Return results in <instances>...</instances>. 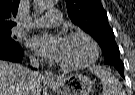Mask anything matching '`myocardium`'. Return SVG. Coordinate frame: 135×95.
<instances>
[{
	"instance_id": "obj_1",
	"label": "myocardium",
	"mask_w": 135,
	"mask_h": 95,
	"mask_svg": "<svg viewBox=\"0 0 135 95\" xmlns=\"http://www.w3.org/2000/svg\"><path fill=\"white\" fill-rule=\"evenodd\" d=\"M73 37H82L89 43L91 50H92L91 57L88 60L81 62V63H77V64H66V63L60 62L59 63L60 66L63 69L78 70V69L86 68V67L92 65L93 63H95L99 58L100 50H99V46H98L97 42L94 40V38L84 31H73V32L68 33L66 36V38H73Z\"/></svg>"
}]
</instances>
